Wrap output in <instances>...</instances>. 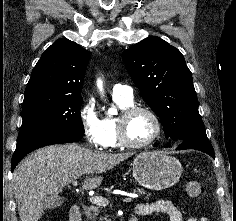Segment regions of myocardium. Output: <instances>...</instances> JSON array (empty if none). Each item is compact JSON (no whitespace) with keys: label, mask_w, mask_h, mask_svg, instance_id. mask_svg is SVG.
<instances>
[{"label":"myocardium","mask_w":236,"mask_h":221,"mask_svg":"<svg viewBox=\"0 0 236 221\" xmlns=\"http://www.w3.org/2000/svg\"><path fill=\"white\" fill-rule=\"evenodd\" d=\"M147 113L155 123V133L148 141L143 143H135L131 141L127 135V126L130 118L136 113ZM163 132V125L158 114L148 106L131 105L121 110L120 115L117 117V134L119 143L127 148L144 149L155 144L161 137Z\"/></svg>","instance_id":"1"}]
</instances>
